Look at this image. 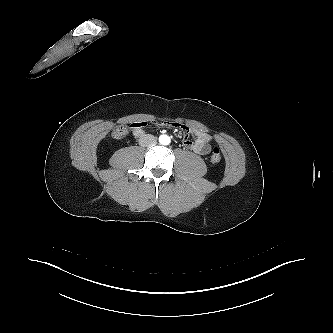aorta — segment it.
Returning <instances> with one entry per match:
<instances>
[{"label":"aorta","instance_id":"obj_1","mask_svg":"<svg viewBox=\"0 0 333 333\" xmlns=\"http://www.w3.org/2000/svg\"><path fill=\"white\" fill-rule=\"evenodd\" d=\"M159 141L161 144L168 145L170 143V137L167 135H161Z\"/></svg>","mask_w":333,"mask_h":333}]
</instances>
